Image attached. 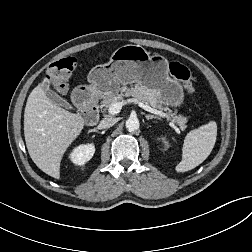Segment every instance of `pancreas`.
Instances as JSON below:
<instances>
[{"mask_svg": "<svg viewBox=\"0 0 252 252\" xmlns=\"http://www.w3.org/2000/svg\"><path fill=\"white\" fill-rule=\"evenodd\" d=\"M124 96L135 97L139 101L149 104L152 107L159 108L160 110H168L169 112H171L168 108L162 107L161 99L155 90H151L142 86H136L134 88L124 87L121 89V93L104 98L100 107L104 109H109L111 104L120 102L121 100H123ZM172 115H175V114H172ZM174 121L180 127H184L186 123V119L181 116H175Z\"/></svg>", "mask_w": 252, "mask_h": 252, "instance_id": "cf45deb5", "label": "pancreas"}]
</instances>
